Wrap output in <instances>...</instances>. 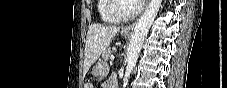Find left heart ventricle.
I'll return each mask as SVG.
<instances>
[{"mask_svg":"<svg viewBox=\"0 0 227 88\" xmlns=\"http://www.w3.org/2000/svg\"><path fill=\"white\" fill-rule=\"evenodd\" d=\"M133 1H122L119 3V11L123 14H129L135 9Z\"/></svg>","mask_w":227,"mask_h":88,"instance_id":"obj_1","label":"left heart ventricle"}]
</instances>
